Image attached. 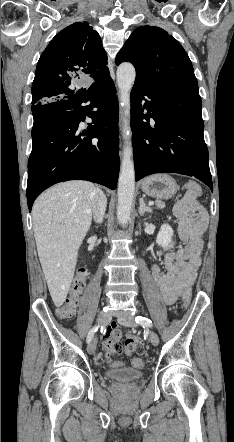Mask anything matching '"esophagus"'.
<instances>
[{"label": "esophagus", "instance_id": "obj_1", "mask_svg": "<svg viewBox=\"0 0 234 442\" xmlns=\"http://www.w3.org/2000/svg\"><path fill=\"white\" fill-rule=\"evenodd\" d=\"M119 127H120V129L122 128V118H120V120H119Z\"/></svg>", "mask_w": 234, "mask_h": 442}]
</instances>
